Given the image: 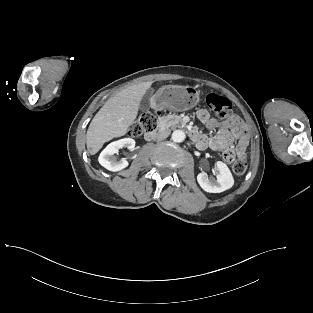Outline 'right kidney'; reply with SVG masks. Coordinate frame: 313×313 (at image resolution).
<instances>
[{
	"label": "right kidney",
	"instance_id": "obj_1",
	"mask_svg": "<svg viewBox=\"0 0 313 313\" xmlns=\"http://www.w3.org/2000/svg\"><path fill=\"white\" fill-rule=\"evenodd\" d=\"M134 150L135 141L131 138H123L114 141L106 146V148L99 155V163L109 171H120L128 166V161L125 159L117 160L114 154H118L122 148Z\"/></svg>",
	"mask_w": 313,
	"mask_h": 313
}]
</instances>
